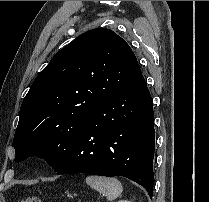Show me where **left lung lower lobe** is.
Listing matches in <instances>:
<instances>
[{"mask_svg":"<svg viewBox=\"0 0 209 202\" xmlns=\"http://www.w3.org/2000/svg\"><path fill=\"white\" fill-rule=\"evenodd\" d=\"M154 150L152 98L141 74L86 116L80 139L56 172L124 176L152 198Z\"/></svg>","mask_w":209,"mask_h":202,"instance_id":"0a47b994","label":"left lung lower lobe"}]
</instances>
